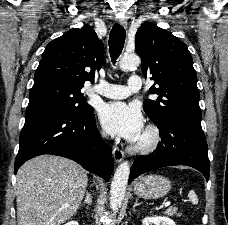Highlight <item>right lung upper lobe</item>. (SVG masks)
<instances>
[{
	"label": "right lung upper lobe",
	"mask_w": 228,
	"mask_h": 225,
	"mask_svg": "<svg viewBox=\"0 0 228 225\" xmlns=\"http://www.w3.org/2000/svg\"><path fill=\"white\" fill-rule=\"evenodd\" d=\"M103 50L92 27L71 29L46 46L35 72L34 85L61 82L82 88L85 81L94 82L95 70L103 64Z\"/></svg>",
	"instance_id": "1"
}]
</instances>
